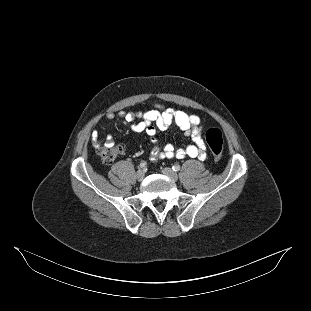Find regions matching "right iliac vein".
I'll return each mask as SVG.
<instances>
[{"label":"right iliac vein","mask_w":311,"mask_h":311,"mask_svg":"<svg viewBox=\"0 0 311 311\" xmlns=\"http://www.w3.org/2000/svg\"><path fill=\"white\" fill-rule=\"evenodd\" d=\"M144 176H145V174H144V172H143L142 170H138V171H137V173H136V179H137L138 181H142V180L144 179Z\"/></svg>","instance_id":"obj_1"}]
</instances>
